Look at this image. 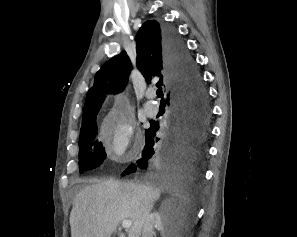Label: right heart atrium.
<instances>
[{"instance_id":"obj_1","label":"right heart atrium","mask_w":297,"mask_h":237,"mask_svg":"<svg viewBox=\"0 0 297 237\" xmlns=\"http://www.w3.org/2000/svg\"><path fill=\"white\" fill-rule=\"evenodd\" d=\"M107 153L114 159H125L130 152L134 137L132 119L121 111L110 113L101 126Z\"/></svg>"}]
</instances>
